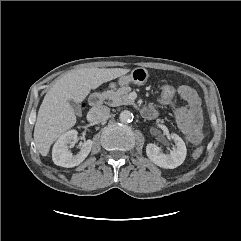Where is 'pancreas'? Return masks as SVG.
<instances>
[{
    "label": "pancreas",
    "mask_w": 241,
    "mask_h": 241,
    "mask_svg": "<svg viewBox=\"0 0 241 241\" xmlns=\"http://www.w3.org/2000/svg\"><path fill=\"white\" fill-rule=\"evenodd\" d=\"M131 88L129 86H123L116 91L109 90L105 92V98L108 100V105L119 106V105H131L134 104L129 98V92Z\"/></svg>",
    "instance_id": "1"
}]
</instances>
